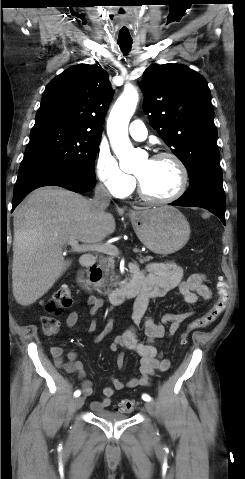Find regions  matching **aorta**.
<instances>
[{"mask_svg":"<svg viewBox=\"0 0 245 479\" xmlns=\"http://www.w3.org/2000/svg\"><path fill=\"white\" fill-rule=\"evenodd\" d=\"M138 103V93L127 87L114 104L107 122V132L114 153L120 161V168L126 173H134L138 168V158L128 137V124Z\"/></svg>","mask_w":245,"mask_h":479,"instance_id":"aorta-1","label":"aorta"}]
</instances>
